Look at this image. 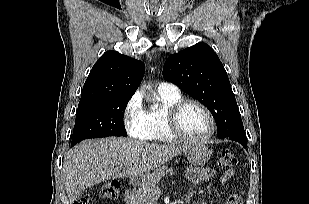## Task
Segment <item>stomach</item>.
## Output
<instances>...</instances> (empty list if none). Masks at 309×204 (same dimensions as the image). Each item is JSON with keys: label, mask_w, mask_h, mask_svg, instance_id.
<instances>
[{"label": "stomach", "mask_w": 309, "mask_h": 204, "mask_svg": "<svg viewBox=\"0 0 309 204\" xmlns=\"http://www.w3.org/2000/svg\"><path fill=\"white\" fill-rule=\"evenodd\" d=\"M211 156L210 149L203 143H194L187 149L188 162L193 166H200L205 164ZM147 174L134 177L136 185H140L147 177Z\"/></svg>", "instance_id": "0dacf381"}]
</instances>
